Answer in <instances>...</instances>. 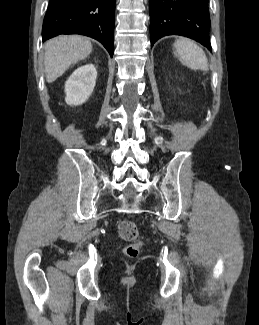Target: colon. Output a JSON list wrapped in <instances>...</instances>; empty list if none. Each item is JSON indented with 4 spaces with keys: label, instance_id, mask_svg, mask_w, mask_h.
Returning a JSON list of instances; mask_svg holds the SVG:
<instances>
[{
    "label": "colon",
    "instance_id": "5ec220e1",
    "mask_svg": "<svg viewBox=\"0 0 259 325\" xmlns=\"http://www.w3.org/2000/svg\"><path fill=\"white\" fill-rule=\"evenodd\" d=\"M119 237L128 242L123 248V253L129 258L138 256L143 247L137 225L130 220H122L118 224Z\"/></svg>",
    "mask_w": 259,
    "mask_h": 325
}]
</instances>
